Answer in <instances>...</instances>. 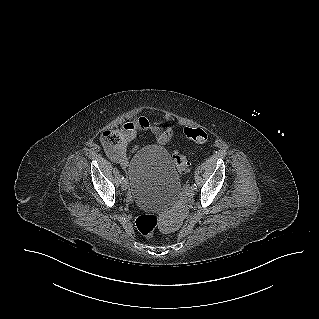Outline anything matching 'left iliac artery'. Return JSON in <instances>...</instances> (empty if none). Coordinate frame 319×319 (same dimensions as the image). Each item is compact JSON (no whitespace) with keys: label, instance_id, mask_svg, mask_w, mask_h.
I'll use <instances>...</instances> for the list:
<instances>
[{"label":"left iliac artery","instance_id":"left-iliac-artery-1","mask_svg":"<svg viewBox=\"0 0 319 319\" xmlns=\"http://www.w3.org/2000/svg\"><path fill=\"white\" fill-rule=\"evenodd\" d=\"M191 186L196 190V188H197L196 184H192ZM188 187H189V186H188ZM188 187H187V188H188Z\"/></svg>","mask_w":319,"mask_h":319}]
</instances>
